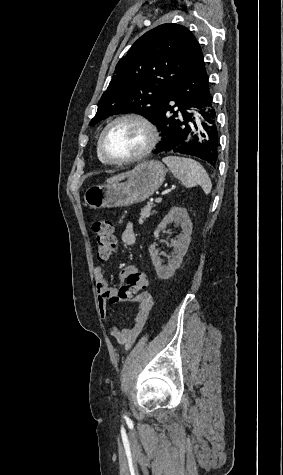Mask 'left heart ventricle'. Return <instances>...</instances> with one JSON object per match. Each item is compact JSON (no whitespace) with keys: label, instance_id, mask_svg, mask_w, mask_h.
I'll use <instances>...</instances> for the list:
<instances>
[{"label":"left heart ventricle","instance_id":"obj_1","mask_svg":"<svg viewBox=\"0 0 283 475\" xmlns=\"http://www.w3.org/2000/svg\"><path fill=\"white\" fill-rule=\"evenodd\" d=\"M149 138L147 128L134 120H123L114 124L105 134L103 146L111 158H124L137 154Z\"/></svg>","mask_w":283,"mask_h":475}]
</instances>
